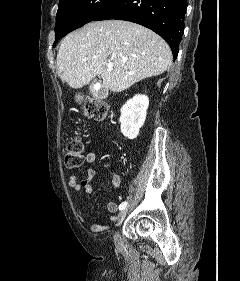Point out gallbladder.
<instances>
[{
    "mask_svg": "<svg viewBox=\"0 0 240 281\" xmlns=\"http://www.w3.org/2000/svg\"><path fill=\"white\" fill-rule=\"evenodd\" d=\"M103 92H104V89H102V90L100 91V94H101V93L103 94Z\"/></svg>",
    "mask_w": 240,
    "mask_h": 281,
    "instance_id": "bac80fb5",
    "label": "gallbladder"
}]
</instances>
